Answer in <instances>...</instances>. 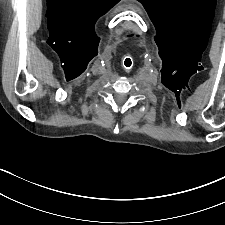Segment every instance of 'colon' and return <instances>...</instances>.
Here are the masks:
<instances>
[{"label": "colon", "instance_id": "5ec220e1", "mask_svg": "<svg viewBox=\"0 0 225 225\" xmlns=\"http://www.w3.org/2000/svg\"><path fill=\"white\" fill-rule=\"evenodd\" d=\"M127 63L131 65V59L130 58H126L124 64H127Z\"/></svg>", "mask_w": 225, "mask_h": 225}]
</instances>
